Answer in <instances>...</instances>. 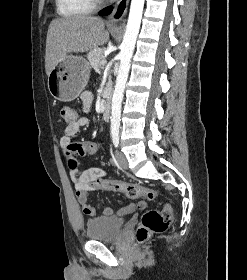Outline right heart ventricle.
<instances>
[{"label":"right heart ventricle","instance_id":"1","mask_svg":"<svg viewBox=\"0 0 247 280\" xmlns=\"http://www.w3.org/2000/svg\"><path fill=\"white\" fill-rule=\"evenodd\" d=\"M56 9L63 17L87 15L92 12L94 4L91 0H55Z\"/></svg>","mask_w":247,"mask_h":280}]
</instances>
